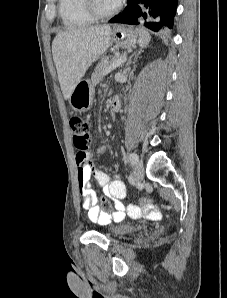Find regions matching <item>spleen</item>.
<instances>
[{
    "instance_id": "obj_1",
    "label": "spleen",
    "mask_w": 227,
    "mask_h": 298,
    "mask_svg": "<svg viewBox=\"0 0 227 298\" xmlns=\"http://www.w3.org/2000/svg\"><path fill=\"white\" fill-rule=\"evenodd\" d=\"M137 32L139 34V44H140V46L142 48L146 47L149 44L150 40H151L150 34L144 29H137Z\"/></svg>"
}]
</instances>
